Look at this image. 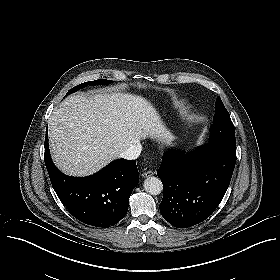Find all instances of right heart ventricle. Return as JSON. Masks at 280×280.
<instances>
[{
    "mask_svg": "<svg viewBox=\"0 0 280 280\" xmlns=\"http://www.w3.org/2000/svg\"><path fill=\"white\" fill-rule=\"evenodd\" d=\"M182 105H183V100H181V99L175 100V101H173V103H172V106H174V107H176V108H179V107H181Z\"/></svg>",
    "mask_w": 280,
    "mask_h": 280,
    "instance_id": "obj_1",
    "label": "right heart ventricle"
}]
</instances>
